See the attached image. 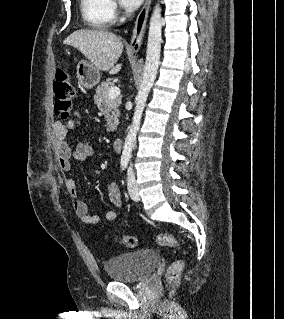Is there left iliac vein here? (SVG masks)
Instances as JSON below:
<instances>
[{
    "label": "left iliac vein",
    "mask_w": 284,
    "mask_h": 319,
    "mask_svg": "<svg viewBox=\"0 0 284 319\" xmlns=\"http://www.w3.org/2000/svg\"><path fill=\"white\" fill-rule=\"evenodd\" d=\"M127 185H128V192L132 200L139 201L140 195L138 191V186L134 177V174L131 170L128 171V179H127Z\"/></svg>",
    "instance_id": "4c4485c4"
}]
</instances>
